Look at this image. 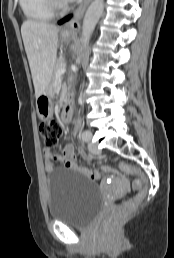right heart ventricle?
Listing matches in <instances>:
<instances>
[{
    "instance_id": "right-heart-ventricle-1",
    "label": "right heart ventricle",
    "mask_w": 174,
    "mask_h": 258,
    "mask_svg": "<svg viewBox=\"0 0 174 258\" xmlns=\"http://www.w3.org/2000/svg\"><path fill=\"white\" fill-rule=\"evenodd\" d=\"M19 5L26 18L32 21H48L54 16L47 0H19Z\"/></svg>"
}]
</instances>
